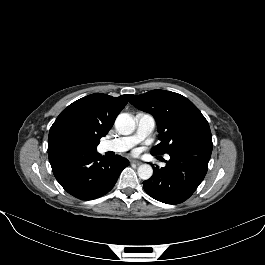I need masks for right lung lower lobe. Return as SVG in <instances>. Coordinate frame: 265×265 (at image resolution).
I'll return each mask as SVG.
<instances>
[{"label": "right lung lower lobe", "mask_w": 265, "mask_h": 265, "mask_svg": "<svg viewBox=\"0 0 265 265\" xmlns=\"http://www.w3.org/2000/svg\"><path fill=\"white\" fill-rule=\"evenodd\" d=\"M48 155L60 185L82 200L96 199L109 192L129 163L119 155L104 159L97 150L64 149Z\"/></svg>", "instance_id": "obj_1"}]
</instances>
